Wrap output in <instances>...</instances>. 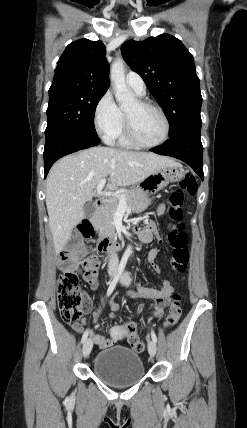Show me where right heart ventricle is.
I'll return each instance as SVG.
<instances>
[{"label":"right heart ventricle","mask_w":247,"mask_h":428,"mask_svg":"<svg viewBox=\"0 0 247 428\" xmlns=\"http://www.w3.org/2000/svg\"><path fill=\"white\" fill-rule=\"evenodd\" d=\"M116 140L120 146L125 147V148H131V147L135 146L131 143V141L127 137L126 130H125V124L123 125L118 137L116 138Z\"/></svg>","instance_id":"e07e8e85"}]
</instances>
